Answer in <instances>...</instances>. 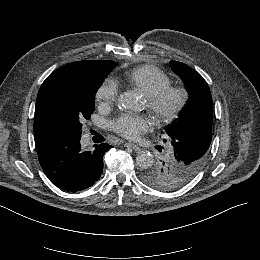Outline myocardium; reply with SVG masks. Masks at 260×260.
<instances>
[{
	"label": "myocardium",
	"mask_w": 260,
	"mask_h": 260,
	"mask_svg": "<svg viewBox=\"0 0 260 260\" xmlns=\"http://www.w3.org/2000/svg\"><path fill=\"white\" fill-rule=\"evenodd\" d=\"M172 97H175L176 101L169 105ZM145 100L154 124L163 127L179 118L188 104L189 93L183 86L169 84L145 96Z\"/></svg>",
	"instance_id": "1"
}]
</instances>
